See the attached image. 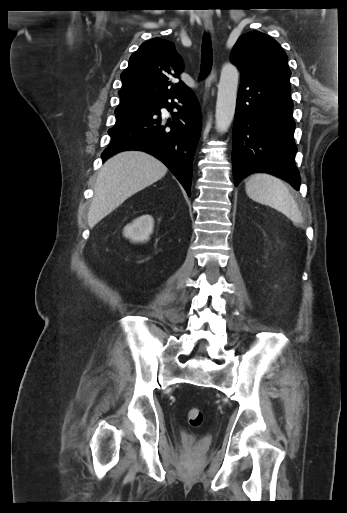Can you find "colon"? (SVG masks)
Returning a JSON list of instances; mask_svg holds the SVG:
<instances>
[{
	"label": "colon",
	"mask_w": 347,
	"mask_h": 513,
	"mask_svg": "<svg viewBox=\"0 0 347 513\" xmlns=\"http://www.w3.org/2000/svg\"><path fill=\"white\" fill-rule=\"evenodd\" d=\"M187 420L193 427H199L204 421V416L201 410L191 408L187 411Z\"/></svg>",
	"instance_id": "5ec220e1"
}]
</instances>
